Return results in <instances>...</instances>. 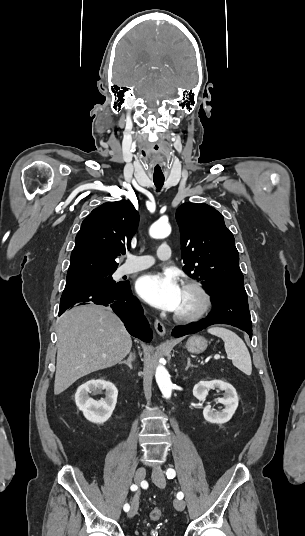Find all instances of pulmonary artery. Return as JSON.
I'll return each instance as SVG.
<instances>
[{"label": "pulmonary artery", "instance_id": "1", "mask_svg": "<svg viewBox=\"0 0 305 536\" xmlns=\"http://www.w3.org/2000/svg\"><path fill=\"white\" fill-rule=\"evenodd\" d=\"M170 244L166 240H162L158 244L157 258L159 260H167L170 258L169 250ZM146 257L148 258L147 261ZM155 258L152 256H145L142 253H133L129 256V261L121 267L122 275H129L135 272L145 270L153 265Z\"/></svg>", "mask_w": 305, "mask_h": 536}]
</instances>
